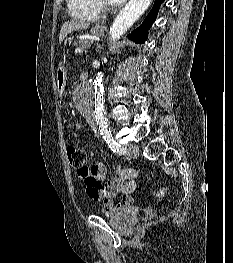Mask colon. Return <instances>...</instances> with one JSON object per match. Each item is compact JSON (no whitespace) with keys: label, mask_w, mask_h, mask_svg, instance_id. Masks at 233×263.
I'll list each match as a JSON object with an SVG mask.
<instances>
[{"label":"colon","mask_w":233,"mask_h":263,"mask_svg":"<svg viewBox=\"0 0 233 263\" xmlns=\"http://www.w3.org/2000/svg\"><path fill=\"white\" fill-rule=\"evenodd\" d=\"M67 157L69 160V163L71 167L75 168L77 170V173L81 177H86L89 173L87 166H85L86 161V153L83 149L69 146L67 147ZM166 188L160 187L156 191L157 197H164L166 195Z\"/></svg>","instance_id":"5ec220e1"}]
</instances>
